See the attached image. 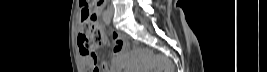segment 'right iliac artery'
<instances>
[{
	"instance_id": "82829eb1",
	"label": "right iliac artery",
	"mask_w": 267,
	"mask_h": 72,
	"mask_svg": "<svg viewBox=\"0 0 267 72\" xmlns=\"http://www.w3.org/2000/svg\"><path fill=\"white\" fill-rule=\"evenodd\" d=\"M103 20L105 21L106 24H110L111 22V17L108 11H105L103 13Z\"/></svg>"
}]
</instances>
